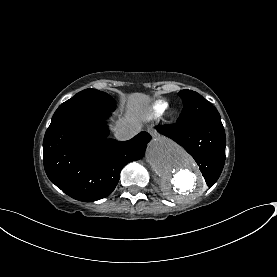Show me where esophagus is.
Segmentation results:
<instances>
[{
  "label": "esophagus",
  "mask_w": 277,
  "mask_h": 277,
  "mask_svg": "<svg viewBox=\"0 0 277 277\" xmlns=\"http://www.w3.org/2000/svg\"><path fill=\"white\" fill-rule=\"evenodd\" d=\"M148 132H149V133H152L153 131H152V129H151V128H149V129H148Z\"/></svg>",
  "instance_id": "obj_1"
}]
</instances>
